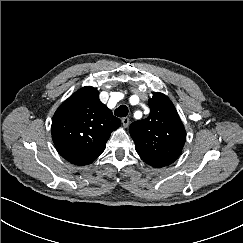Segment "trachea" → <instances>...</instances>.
<instances>
[{"label": "trachea", "instance_id": "1", "mask_svg": "<svg viewBox=\"0 0 243 243\" xmlns=\"http://www.w3.org/2000/svg\"><path fill=\"white\" fill-rule=\"evenodd\" d=\"M114 114L118 117H125L128 115V108L125 105L119 106L115 111Z\"/></svg>", "mask_w": 243, "mask_h": 243}]
</instances>
